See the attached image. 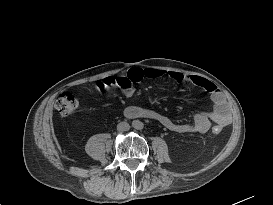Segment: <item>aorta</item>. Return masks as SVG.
I'll return each instance as SVG.
<instances>
[{"label":"aorta","instance_id":"1","mask_svg":"<svg viewBox=\"0 0 273 205\" xmlns=\"http://www.w3.org/2000/svg\"><path fill=\"white\" fill-rule=\"evenodd\" d=\"M132 127L135 128V129L140 130V129L143 128V123L141 121H139V120H134L132 122Z\"/></svg>","mask_w":273,"mask_h":205}]
</instances>
